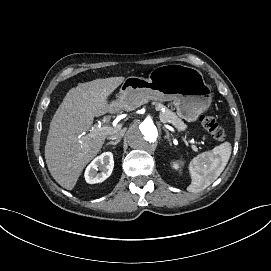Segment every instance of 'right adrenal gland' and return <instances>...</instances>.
Listing matches in <instances>:
<instances>
[{"instance_id":"right-adrenal-gland-1","label":"right adrenal gland","mask_w":271,"mask_h":271,"mask_svg":"<svg viewBox=\"0 0 271 271\" xmlns=\"http://www.w3.org/2000/svg\"><path fill=\"white\" fill-rule=\"evenodd\" d=\"M117 143H118V142L111 141V142L106 143V145H116Z\"/></svg>"}]
</instances>
